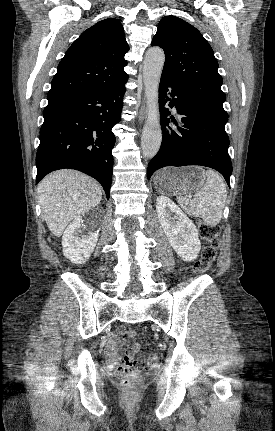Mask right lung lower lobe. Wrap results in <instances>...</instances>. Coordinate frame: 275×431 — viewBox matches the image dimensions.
Masks as SVG:
<instances>
[{"mask_svg": "<svg viewBox=\"0 0 275 431\" xmlns=\"http://www.w3.org/2000/svg\"><path fill=\"white\" fill-rule=\"evenodd\" d=\"M125 83L48 102L36 155V184L51 171L71 168L98 180L109 198L116 142L112 128L121 120Z\"/></svg>", "mask_w": 275, "mask_h": 431, "instance_id": "98d812e1", "label": "right lung lower lobe"}]
</instances>
